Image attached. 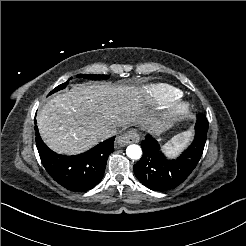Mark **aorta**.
<instances>
[{
	"mask_svg": "<svg viewBox=\"0 0 246 246\" xmlns=\"http://www.w3.org/2000/svg\"><path fill=\"white\" fill-rule=\"evenodd\" d=\"M126 154L130 159L137 160L142 156V150L139 145L132 144L129 145L126 149Z\"/></svg>",
	"mask_w": 246,
	"mask_h": 246,
	"instance_id": "1",
	"label": "aorta"
}]
</instances>
